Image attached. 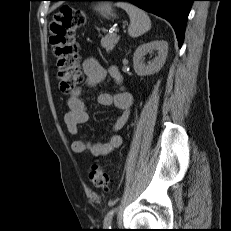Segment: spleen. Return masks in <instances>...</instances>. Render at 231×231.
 I'll use <instances>...</instances> for the list:
<instances>
[{
    "mask_svg": "<svg viewBox=\"0 0 231 231\" xmlns=\"http://www.w3.org/2000/svg\"><path fill=\"white\" fill-rule=\"evenodd\" d=\"M116 6L124 9L129 15L130 26L128 28V34L131 37H139L150 30L151 20L143 10L127 2H118Z\"/></svg>",
    "mask_w": 231,
    "mask_h": 231,
    "instance_id": "obj_1",
    "label": "spleen"
}]
</instances>
